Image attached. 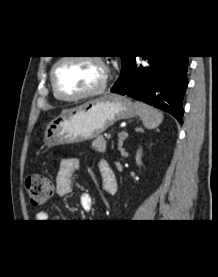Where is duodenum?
<instances>
[{
	"instance_id": "duodenum-1",
	"label": "duodenum",
	"mask_w": 218,
	"mask_h": 277,
	"mask_svg": "<svg viewBox=\"0 0 218 277\" xmlns=\"http://www.w3.org/2000/svg\"><path fill=\"white\" fill-rule=\"evenodd\" d=\"M100 172L105 184H114V190L112 192H107L108 194H113L116 191V181L110 166L106 162H102L100 165Z\"/></svg>"
}]
</instances>
